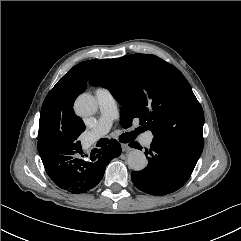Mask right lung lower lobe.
<instances>
[{
    "label": "right lung lower lobe",
    "instance_id": "right-lung-lower-lobe-1",
    "mask_svg": "<svg viewBox=\"0 0 241 241\" xmlns=\"http://www.w3.org/2000/svg\"><path fill=\"white\" fill-rule=\"evenodd\" d=\"M45 170L52 181L61 189L73 194L84 193L95 187L103 178L109 162L121 154V146L115 139L109 145L84 160L81 146L60 153L49 149H38ZM87 156V155H85Z\"/></svg>",
    "mask_w": 241,
    "mask_h": 241
}]
</instances>
